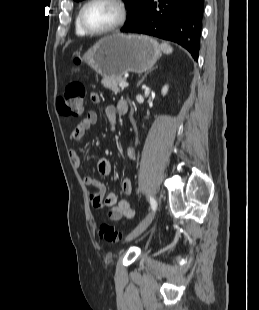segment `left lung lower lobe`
Wrapping results in <instances>:
<instances>
[{
    "label": "left lung lower lobe",
    "instance_id": "0a47b994",
    "mask_svg": "<svg viewBox=\"0 0 259 310\" xmlns=\"http://www.w3.org/2000/svg\"><path fill=\"white\" fill-rule=\"evenodd\" d=\"M204 0H149L140 16L122 32L143 33L174 41L197 60Z\"/></svg>",
    "mask_w": 259,
    "mask_h": 310
}]
</instances>
